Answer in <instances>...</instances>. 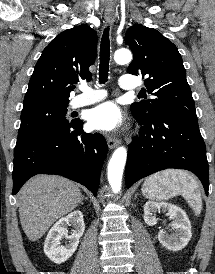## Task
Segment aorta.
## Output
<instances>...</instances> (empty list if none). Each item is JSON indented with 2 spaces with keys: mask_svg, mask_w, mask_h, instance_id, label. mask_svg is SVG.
<instances>
[{
  "mask_svg": "<svg viewBox=\"0 0 215 274\" xmlns=\"http://www.w3.org/2000/svg\"><path fill=\"white\" fill-rule=\"evenodd\" d=\"M114 60L118 64H127L132 60V54L128 49L122 48L115 52ZM127 158V150L124 147L117 148L108 164V181L114 193L121 189L122 175Z\"/></svg>",
  "mask_w": 215,
  "mask_h": 274,
  "instance_id": "aorta-1",
  "label": "aorta"
}]
</instances>
